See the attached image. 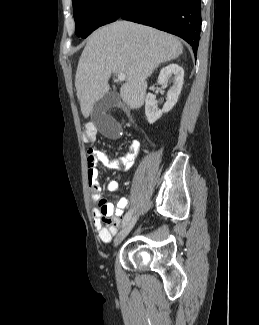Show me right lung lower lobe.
Returning <instances> with one entry per match:
<instances>
[{
    "label": "right lung lower lobe",
    "instance_id": "98d812e1",
    "mask_svg": "<svg viewBox=\"0 0 259 325\" xmlns=\"http://www.w3.org/2000/svg\"><path fill=\"white\" fill-rule=\"evenodd\" d=\"M149 25L188 42L197 53L201 32V0H126L120 16Z\"/></svg>",
    "mask_w": 259,
    "mask_h": 325
}]
</instances>
